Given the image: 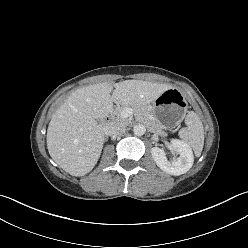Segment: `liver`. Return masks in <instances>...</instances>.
Listing matches in <instances>:
<instances>
[{
    "label": "liver",
    "mask_w": 248,
    "mask_h": 248,
    "mask_svg": "<svg viewBox=\"0 0 248 248\" xmlns=\"http://www.w3.org/2000/svg\"><path fill=\"white\" fill-rule=\"evenodd\" d=\"M169 88L166 84L125 80L75 90L50 120L47 130L50 156L72 176L88 174L96 165L104 144V127L96 119L105 118L113 102L141 106L153 102Z\"/></svg>",
    "instance_id": "1"
}]
</instances>
